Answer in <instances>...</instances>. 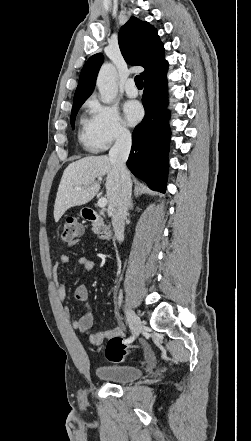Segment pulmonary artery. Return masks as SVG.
I'll list each match as a JSON object with an SVG mask.
<instances>
[{"label": "pulmonary artery", "instance_id": "1", "mask_svg": "<svg viewBox=\"0 0 251 441\" xmlns=\"http://www.w3.org/2000/svg\"><path fill=\"white\" fill-rule=\"evenodd\" d=\"M125 92L129 97H136L138 95V89L133 79H128L126 81Z\"/></svg>", "mask_w": 251, "mask_h": 441}]
</instances>
